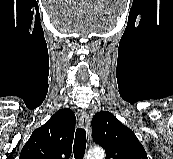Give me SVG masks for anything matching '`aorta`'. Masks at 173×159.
<instances>
[{"instance_id": "obj_1", "label": "aorta", "mask_w": 173, "mask_h": 159, "mask_svg": "<svg viewBox=\"0 0 173 159\" xmlns=\"http://www.w3.org/2000/svg\"><path fill=\"white\" fill-rule=\"evenodd\" d=\"M105 152L102 148H93L88 151L86 159H104Z\"/></svg>"}]
</instances>
